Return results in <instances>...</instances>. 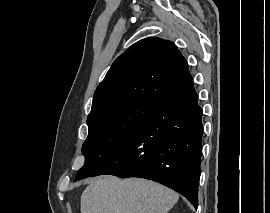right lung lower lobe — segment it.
Instances as JSON below:
<instances>
[{
  "label": "right lung lower lobe",
  "instance_id": "1",
  "mask_svg": "<svg viewBox=\"0 0 270 213\" xmlns=\"http://www.w3.org/2000/svg\"><path fill=\"white\" fill-rule=\"evenodd\" d=\"M202 109L192 81L160 101L130 139L93 175L141 177L182 194L198 207Z\"/></svg>",
  "mask_w": 270,
  "mask_h": 213
}]
</instances>
